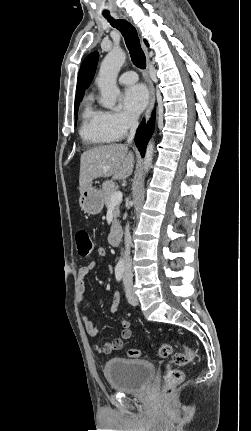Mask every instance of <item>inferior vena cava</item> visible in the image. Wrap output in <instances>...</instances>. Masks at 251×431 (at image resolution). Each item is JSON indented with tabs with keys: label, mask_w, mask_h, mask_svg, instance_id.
I'll use <instances>...</instances> for the list:
<instances>
[{
	"label": "inferior vena cava",
	"mask_w": 251,
	"mask_h": 431,
	"mask_svg": "<svg viewBox=\"0 0 251 431\" xmlns=\"http://www.w3.org/2000/svg\"><path fill=\"white\" fill-rule=\"evenodd\" d=\"M128 125L130 129V133L127 137V142L131 143L135 137L136 129L138 127V118L136 116H129ZM130 232H129V224L126 225L125 228V263H124V274L123 278L125 281H131L132 280V270H131V259H130Z\"/></svg>",
	"instance_id": "1"
}]
</instances>
